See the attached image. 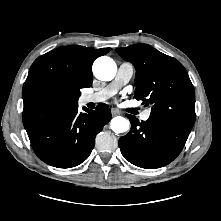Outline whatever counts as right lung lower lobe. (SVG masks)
<instances>
[{
    "mask_svg": "<svg viewBox=\"0 0 221 221\" xmlns=\"http://www.w3.org/2000/svg\"><path fill=\"white\" fill-rule=\"evenodd\" d=\"M84 110L79 113L78 103L70 104L24 124L31 146L42 161L71 168L88 158L96 135L111 119V111L106 104L94 111Z\"/></svg>",
    "mask_w": 221,
    "mask_h": 221,
    "instance_id": "1",
    "label": "right lung lower lobe"
}]
</instances>
